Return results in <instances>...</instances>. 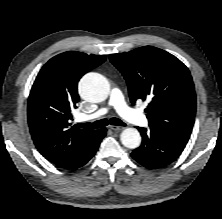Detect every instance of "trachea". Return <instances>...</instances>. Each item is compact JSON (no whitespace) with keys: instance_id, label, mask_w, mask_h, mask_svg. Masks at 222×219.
Wrapping results in <instances>:
<instances>
[{"instance_id":"obj_1","label":"trachea","mask_w":222,"mask_h":219,"mask_svg":"<svg viewBox=\"0 0 222 219\" xmlns=\"http://www.w3.org/2000/svg\"><path fill=\"white\" fill-rule=\"evenodd\" d=\"M108 124L115 125V126H126V124L118 118H111L110 120L101 119L94 123H79L78 126L82 128H86V129H97V128L105 127Z\"/></svg>"}]
</instances>
